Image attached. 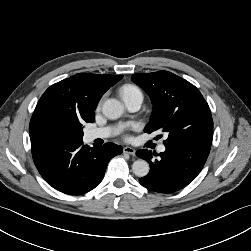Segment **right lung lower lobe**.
<instances>
[{"instance_id":"1","label":"right lung lower lobe","mask_w":251,"mask_h":251,"mask_svg":"<svg viewBox=\"0 0 251 251\" xmlns=\"http://www.w3.org/2000/svg\"><path fill=\"white\" fill-rule=\"evenodd\" d=\"M34 163L54 189L80 195L103 179L108 162L122 153L121 146L106 143L90 148L82 140L31 146Z\"/></svg>"}]
</instances>
